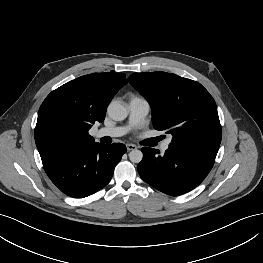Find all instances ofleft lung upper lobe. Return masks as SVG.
Returning a JSON list of instances; mask_svg holds the SVG:
<instances>
[{
	"label": "left lung upper lobe",
	"mask_w": 263,
	"mask_h": 263,
	"mask_svg": "<svg viewBox=\"0 0 263 263\" xmlns=\"http://www.w3.org/2000/svg\"><path fill=\"white\" fill-rule=\"evenodd\" d=\"M128 81L149 102L154 128L172 134L170 144L219 149L216 103L200 83L166 72L133 73Z\"/></svg>",
	"instance_id": "obj_1"
}]
</instances>
